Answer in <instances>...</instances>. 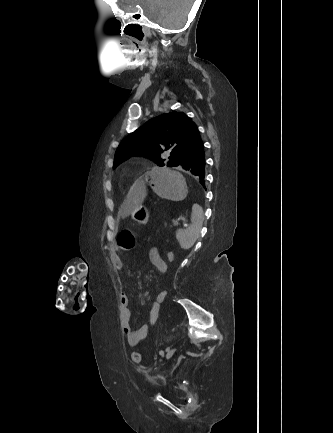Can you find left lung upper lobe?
Wrapping results in <instances>:
<instances>
[{"mask_svg": "<svg viewBox=\"0 0 333 433\" xmlns=\"http://www.w3.org/2000/svg\"><path fill=\"white\" fill-rule=\"evenodd\" d=\"M201 141L196 124L185 113H165L149 120L121 142L113 167L136 155L148 157L159 166L176 167ZM164 151L170 154L166 164L161 158Z\"/></svg>", "mask_w": 333, "mask_h": 433, "instance_id": "5c2ea615", "label": "left lung upper lobe"}]
</instances>
